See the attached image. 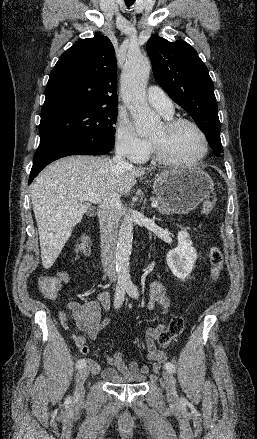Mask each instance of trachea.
Instances as JSON below:
<instances>
[{"label":"trachea","instance_id":"trachea-1","mask_svg":"<svg viewBox=\"0 0 257 439\" xmlns=\"http://www.w3.org/2000/svg\"><path fill=\"white\" fill-rule=\"evenodd\" d=\"M135 0H125V4L127 5V7H130L134 4Z\"/></svg>","mask_w":257,"mask_h":439}]
</instances>
